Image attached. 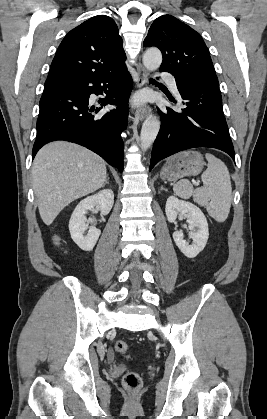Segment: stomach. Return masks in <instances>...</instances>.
Returning a JSON list of instances; mask_svg holds the SVG:
<instances>
[{"label":"stomach","mask_w":267,"mask_h":419,"mask_svg":"<svg viewBox=\"0 0 267 419\" xmlns=\"http://www.w3.org/2000/svg\"><path fill=\"white\" fill-rule=\"evenodd\" d=\"M204 165L203 156L198 151H183L166 160L160 176L163 180L176 181L186 176L198 175Z\"/></svg>","instance_id":"obj_1"}]
</instances>
